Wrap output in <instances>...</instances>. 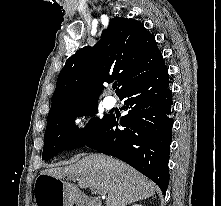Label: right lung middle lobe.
Returning <instances> with one entry per match:
<instances>
[{
  "mask_svg": "<svg viewBox=\"0 0 221 206\" xmlns=\"http://www.w3.org/2000/svg\"><path fill=\"white\" fill-rule=\"evenodd\" d=\"M96 113L97 103H83L49 114L42 159L47 161L63 150L85 146L111 116L104 115L102 119L94 117L82 130H78L73 122L77 116H91Z\"/></svg>",
  "mask_w": 221,
  "mask_h": 206,
  "instance_id": "right-lung-middle-lobe-1",
  "label": "right lung middle lobe"
}]
</instances>
